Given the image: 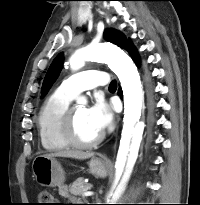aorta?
<instances>
[{"mask_svg": "<svg viewBox=\"0 0 200 205\" xmlns=\"http://www.w3.org/2000/svg\"><path fill=\"white\" fill-rule=\"evenodd\" d=\"M85 61L103 62L117 75L124 96L123 129L118 157L127 154L125 170L116 190L115 198H119L126 188L133 167L138 157L142 140L144 124L140 121L143 105V94L140 76L132 59L118 46L105 42L90 44L77 49L69 62L72 69L84 66ZM79 103H85V98H79Z\"/></svg>", "mask_w": 200, "mask_h": 205, "instance_id": "obj_1", "label": "aorta"}]
</instances>
